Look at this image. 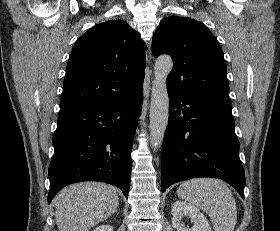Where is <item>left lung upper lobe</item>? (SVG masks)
I'll return each instance as SVG.
<instances>
[{"instance_id":"1","label":"left lung upper lobe","mask_w":280,"mask_h":231,"mask_svg":"<svg viewBox=\"0 0 280 231\" xmlns=\"http://www.w3.org/2000/svg\"><path fill=\"white\" fill-rule=\"evenodd\" d=\"M154 57L169 54L173 69L167 88L231 104L221 46L201 22L179 16L164 18L152 39Z\"/></svg>"}]
</instances>
